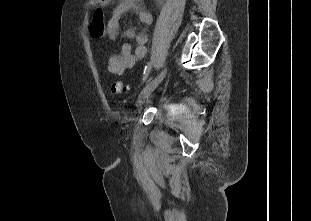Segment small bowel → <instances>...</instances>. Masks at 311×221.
<instances>
[{"instance_id": "obj_1", "label": "small bowel", "mask_w": 311, "mask_h": 221, "mask_svg": "<svg viewBox=\"0 0 311 221\" xmlns=\"http://www.w3.org/2000/svg\"><path fill=\"white\" fill-rule=\"evenodd\" d=\"M134 10L139 21L149 26L152 24L153 17L144 6L142 0H121L113 9L111 18L107 24L108 37L114 40L119 32V21L128 11ZM125 36L135 42L133 48L129 43L122 45L120 52L110 56L108 61V70L114 75H121L126 70L132 69L138 60L146 55L147 35L145 32H137L133 29L126 31Z\"/></svg>"}]
</instances>
